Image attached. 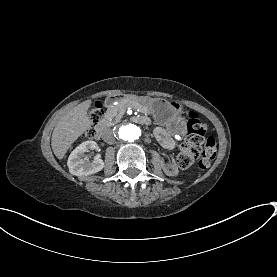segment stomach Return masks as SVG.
Returning <instances> with one entry per match:
<instances>
[{"instance_id":"obj_1","label":"stomach","mask_w":277,"mask_h":277,"mask_svg":"<svg viewBox=\"0 0 277 277\" xmlns=\"http://www.w3.org/2000/svg\"><path fill=\"white\" fill-rule=\"evenodd\" d=\"M138 101L146 104L155 120L169 130L176 132L183 128L185 124L182 117L183 108L179 102L161 98H141Z\"/></svg>"}]
</instances>
